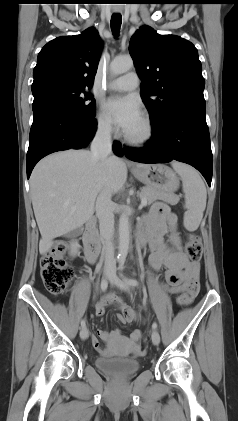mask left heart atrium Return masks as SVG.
<instances>
[{"label": "left heart atrium", "instance_id": "left-heart-atrium-1", "mask_svg": "<svg viewBox=\"0 0 238 421\" xmlns=\"http://www.w3.org/2000/svg\"><path fill=\"white\" fill-rule=\"evenodd\" d=\"M105 110L113 121L125 132L141 119L138 102L131 96H115L104 104Z\"/></svg>", "mask_w": 238, "mask_h": 421}]
</instances>
